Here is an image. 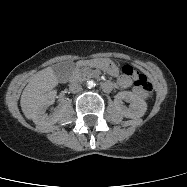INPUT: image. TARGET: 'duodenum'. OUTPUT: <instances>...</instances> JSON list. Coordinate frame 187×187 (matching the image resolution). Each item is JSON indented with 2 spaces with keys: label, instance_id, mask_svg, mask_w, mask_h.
Returning a JSON list of instances; mask_svg holds the SVG:
<instances>
[{
  "label": "duodenum",
  "instance_id": "duodenum-1",
  "mask_svg": "<svg viewBox=\"0 0 187 187\" xmlns=\"http://www.w3.org/2000/svg\"><path fill=\"white\" fill-rule=\"evenodd\" d=\"M81 62H83V61H81ZM78 64L80 65L81 63H78ZM102 87H103V89L106 90V91H109V90H111V88H112L110 82H108V81L103 82V83H102Z\"/></svg>",
  "mask_w": 187,
  "mask_h": 187
}]
</instances>
